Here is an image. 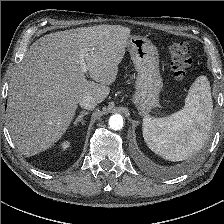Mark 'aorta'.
Masks as SVG:
<instances>
[{
    "label": "aorta",
    "mask_w": 224,
    "mask_h": 224,
    "mask_svg": "<svg viewBox=\"0 0 224 224\" xmlns=\"http://www.w3.org/2000/svg\"><path fill=\"white\" fill-rule=\"evenodd\" d=\"M109 126L113 130H120L123 127V117L120 114L112 115L109 118Z\"/></svg>",
    "instance_id": "aorta-1"
}]
</instances>
